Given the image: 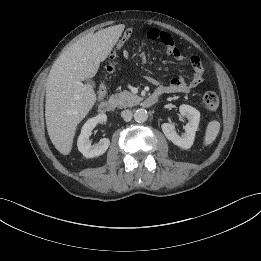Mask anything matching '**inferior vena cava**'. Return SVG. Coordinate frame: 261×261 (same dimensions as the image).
<instances>
[{
    "mask_svg": "<svg viewBox=\"0 0 261 261\" xmlns=\"http://www.w3.org/2000/svg\"><path fill=\"white\" fill-rule=\"evenodd\" d=\"M133 112L131 110H123L121 112V117L126 121L129 122L132 119Z\"/></svg>",
    "mask_w": 261,
    "mask_h": 261,
    "instance_id": "1",
    "label": "inferior vena cava"
}]
</instances>
